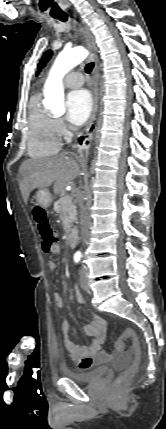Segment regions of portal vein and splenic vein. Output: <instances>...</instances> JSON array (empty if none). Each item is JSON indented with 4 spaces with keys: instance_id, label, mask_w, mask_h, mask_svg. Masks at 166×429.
<instances>
[{
    "instance_id": "1",
    "label": "portal vein and splenic vein",
    "mask_w": 166,
    "mask_h": 429,
    "mask_svg": "<svg viewBox=\"0 0 166 429\" xmlns=\"http://www.w3.org/2000/svg\"><path fill=\"white\" fill-rule=\"evenodd\" d=\"M70 199H71V198H70V196H67V199H66V200H67V201H69Z\"/></svg>"
}]
</instances>
